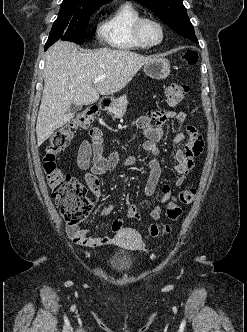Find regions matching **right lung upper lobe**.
<instances>
[{"label":"right lung upper lobe","mask_w":247,"mask_h":332,"mask_svg":"<svg viewBox=\"0 0 247 332\" xmlns=\"http://www.w3.org/2000/svg\"><path fill=\"white\" fill-rule=\"evenodd\" d=\"M63 1H72V2H81V3H97V4H105L112 0H63Z\"/></svg>","instance_id":"cb5924a9"}]
</instances>
